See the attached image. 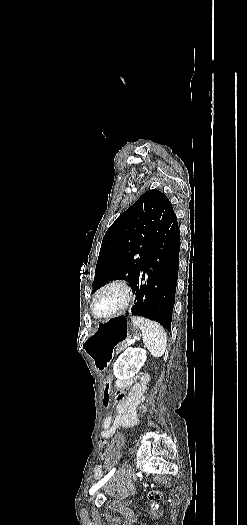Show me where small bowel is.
Listing matches in <instances>:
<instances>
[{"label": "small bowel", "instance_id": "small-bowel-1", "mask_svg": "<svg viewBox=\"0 0 247 525\" xmlns=\"http://www.w3.org/2000/svg\"><path fill=\"white\" fill-rule=\"evenodd\" d=\"M149 381L150 377L146 373H140L133 380V384L129 393L123 396L122 399H120L117 403L115 415L113 417L107 416L104 419L101 432V438L103 440L110 439L119 428L127 426L134 421L137 407L144 400V395ZM119 386L120 384L117 383L116 387L118 388ZM118 457V452L113 451L108 454L107 461L109 463H113L118 459ZM93 476L96 479L101 478L102 467L100 465H97L94 468Z\"/></svg>", "mask_w": 247, "mask_h": 525}]
</instances>
